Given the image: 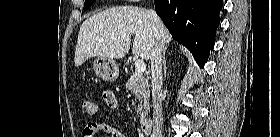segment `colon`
I'll use <instances>...</instances> for the list:
<instances>
[{
  "label": "colon",
  "instance_id": "colon-1",
  "mask_svg": "<svg viewBox=\"0 0 280 137\" xmlns=\"http://www.w3.org/2000/svg\"><path fill=\"white\" fill-rule=\"evenodd\" d=\"M113 97V93L106 92L104 94L105 99H113ZM82 109L88 116H95L99 111V105L93 100L85 99L82 101ZM94 137H96V135H94Z\"/></svg>",
  "mask_w": 280,
  "mask_h": 137
}]
</instances>
